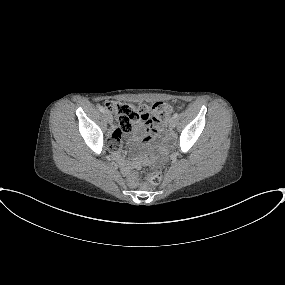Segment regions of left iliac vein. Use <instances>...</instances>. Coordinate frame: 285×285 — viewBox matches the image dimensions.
<instances>
[{
    "label": "left iliac vein",
    "mask_w": 285,
    "mask_h": 285,
    "mask_svg": "<svg viewBox=\"0 0 285 285\" xmlns=\"http://www.w3.org/2000/svg\"><path fill=\"white\" fill-rule=\"evenodd\" d=\"M176 126V119L174 117H172L170 120H169V127L170 128H174Z\"/></svg>",
    "instance_id": "1"
}]
</instances>
